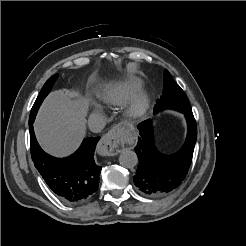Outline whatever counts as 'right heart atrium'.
I'll return each mask as SVG.
<instances>
[{"mask_svg": "<svg viewBox=\"0 0 246 246\" xmlns=\"http://www.w3.org/2000/svg\"><path fill=\"white\" fill-rule=\"evenodd\" d=\"M89 110L91 112L92 115H97L100 113V109L97 105L95 104H90L89 105Z\"/></svg>", "mask_w": 246, "mask_h": 246, "instance_id": "right-heart-atrium-1", "label": "right heart atrium"}]
</instances>
